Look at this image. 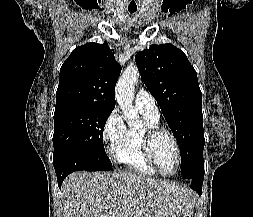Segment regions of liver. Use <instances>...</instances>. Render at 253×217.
<instances>
[{
  "mask_svg": "<svg viewBox=\"0 0 253 217\" xmlns=\"http://www.w3.org/2000/svg\"><path fill=\"white\" fill-rule=\"evenodd\" d=\"M61 191L64 217H177L192 208L185 185L130 172H76Z\"/></svg>",
  "mask_w": 253,
  "mask_h": 217,
  "instance_id": "1",
  "label": "liver"
}]
</instances>
